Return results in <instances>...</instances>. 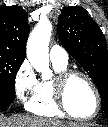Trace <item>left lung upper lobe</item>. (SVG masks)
Returning a JSON list of instances; mask_svg holds the SVG:
<instances>
[{
	"label": "left lung upper lobe",
	"mask_w": 108,
	"mask_h": 127,
	"mask_svg": "<svg viewBox=\"0 0 108 127\" xmlns=\"http://www.w3.org/2000/svg\"><path fill=\"white\" fill-rule=\"evenodd\" d=\"M57 32L62 45L97 85L108 119V48L102 31L84 8L69 6L59 16Z\"/></svg>",
	"instance_id": "left-lung-upper-lobe-1"
}]
</instances>
